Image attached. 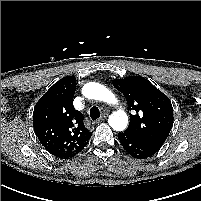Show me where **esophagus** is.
I'll return each instance as SVG.
<instances>
[{"label": "esophagus", "instance_id": "34e87169", "mask_svg": "<svg viewBox=\"0 0 201 201\" xmlns=\"http://www.w3.org/2000/svg\"><path fill=\"white\" fill-rule=\"evenodd\" d=\"M107 117H108V114L104 113L101 118H99L98 120H96V123H100L101 121L105 120Z\"/></svg>", "mask_w": 201, "mask_h": 201}]
</instances>
